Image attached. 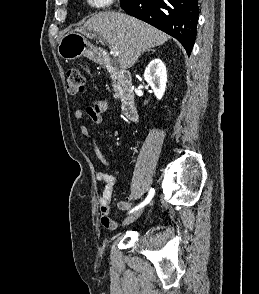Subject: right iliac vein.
Returning a JSON list of instances; mask_svg holds the SVG:
<instances>
[{
	"mask_svg": "<svg viewBox=\"0 0 259 294\" xmlns=\"http://www.w3.org/2000/svg\"><path fill=\"white\" fill-rule=\"evenodd\" d=\"M143 212V209H139V210H136L135 212H133L132 214H130L128 217L125 218V220L123 221V225H129L131 224L132 222H134L135 220H137L141 214Z\"/></svg>",
	"mask_w": 259,
	"mask_h": 294,
	"instance_id": "right-iliac-vein-1",
	"label": "right iliac vein"
}]
</instances>
